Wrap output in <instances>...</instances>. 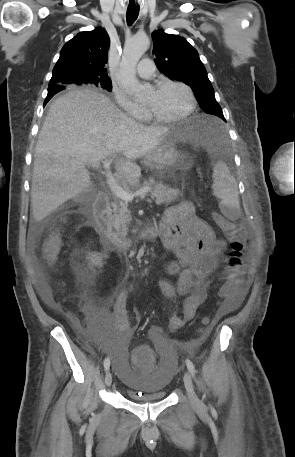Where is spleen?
<instances>
[{"mask_svg": "<svg viewBox=\"0 0 295 457\" xmlns=\"http://www.w3.org/2000/svg\"><path fill=\"white\" fill-rule=\"evenodd\" d=\"M213 192L221 199V212L229 219L234 218L240 210L237 182L222 161H218L213 168Z\"/></svg>", "mask_w": 295, "mask_h": 457, "instance_id": "obj_1", "label": "spleen"}]
</instances>
